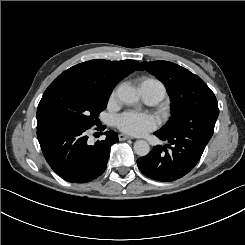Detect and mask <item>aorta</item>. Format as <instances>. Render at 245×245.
I'll return each instance as SVG.
<instances>
[{"mask_svg":"<svg viewBox=\"0 0 245 245\" xmlns=\"http://www.w3.org/2000/svg\"><path fill=\"white\" fill-rule=\"evenodd\" d=\"M118 99L127 104L132 105L139 100V96L135 89L128 85H121L117 89ZM134 151L139 156H146L150 152V146L145 140H137L134 143Z\"/></svg>","mask_w":245,"mask_h":245,"instance_id":"1","label":"aorta"}]
</instances>
